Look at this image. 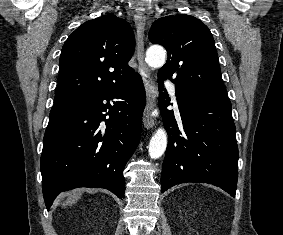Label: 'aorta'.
I'll use <instances>...</instances> for the list:
<instances>
[{
	"label": "aorta",
	"instance_id": "762f6f07",
	"mask_svg": "<svg viewBox=\"0 0 283 235\" xmlns=\"http://www.w3.org/2000/svg\"><path fill=\"white\" fill-rule=\"evenodd\" d=\"M166 61V52L161 46H151L146 52V62L153 68L162 67ZM167 147V133L164 128H159L152 136L149 143V155L152 159L160 158Z\"/></svg>",
	"mask_w": 283,
	"mask_h": 235
}]
</instances>
